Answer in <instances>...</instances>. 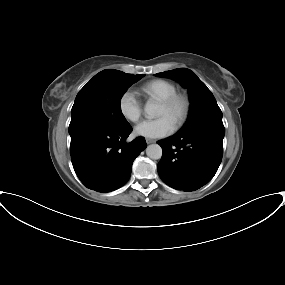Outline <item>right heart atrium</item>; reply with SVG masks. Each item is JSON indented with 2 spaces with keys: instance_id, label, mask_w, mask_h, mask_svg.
<instances>
[{
  "instance_id": "d8ad5b80",
  "label": "right heart atrium",
  "mask_w": 285,
  "mask_h": 285,
  "mask_svg": "<svg viewBox=\"0 0 285 285\" xmlns=\"http://www.w3.org/2000/svg\"><path fill=\"white\" fill-rule=\"evenodd\" d=\"M119 111L129 122L139 121L142 115V103L132 90H126L120 96Z\"/></svg>"
}]
</instances>
